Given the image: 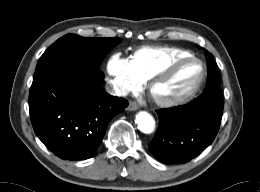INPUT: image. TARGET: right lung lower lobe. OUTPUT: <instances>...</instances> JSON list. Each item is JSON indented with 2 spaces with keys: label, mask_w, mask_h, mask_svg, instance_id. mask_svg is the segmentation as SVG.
Segmentation results:
<instances>
[{
  "label": "right lung lower lobe",
  "mask_w": 260,
  "mask_h": 192,
  "mask_svg": "<svg viewBox=\"0 0 260 192\" xmlns=\"http://www.w3.org/2000/svg\"><path fill=\"white\" fill-rule=\"evenodd\" d=\"M104 74L87 65L60 64L33 79L31 122L38 138L58 157L88 159L96 153L110 120L128 102L103 89Z\"/></svg>",
  "instance_id": "98d812e1"
}]
</instances>
